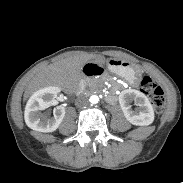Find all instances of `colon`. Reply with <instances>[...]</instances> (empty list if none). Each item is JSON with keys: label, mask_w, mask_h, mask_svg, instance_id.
I'll use <instances>...</instances> for the list:
<instances>
[{"label": "colon", "mask_w": 183, "mask_h": 183, "mask_svg": "<svg viewBox=\"0 0 183 183\" xmlns=\"http://www.w3.org/2000/svg\"><path fill=\"white\" fill-rule=\"evenodd\" d=\"M141 90L151 99L155 111L158 114L162 113L165 106V95L162 87L152 78L146 76L141 81Z\"/></svg>", "instance_id": "5ec220e1"}]
</instances>
